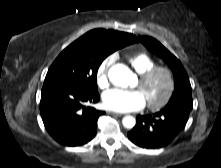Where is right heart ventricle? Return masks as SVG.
<instances>
[{
  "mask_svg": "<svg viewBox=\"0 0 221 168\" xmlns=\"http://www.w3.org/2000/svg\"><path fill=\"white\" fill-rule=\"evenodd\" d=\"M128 61L138 74L157 66V61L147 53L140 52L128 57Z\"/></svg>",
  "mask_w": 221,
  "mask_h": 168,
  "instance_id": "right-heart-ventricle-1",
  "label": "right heart ventricle"
}]
</instances>
